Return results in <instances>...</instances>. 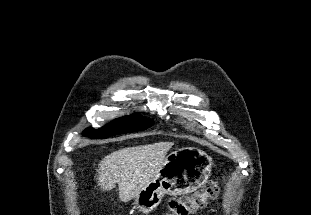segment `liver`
I'll list each match as a JSON object with an SVG mask.
<instances>
[{
	"label": "liver",
	"instance_id": "liver-1",
	"mask_svg": "<svg viewBox=\"0 0 311 215\" xmlns=\"http://www.w3.org/2000/svg\"><path fill=\"white\" fill-rule=\"evenodd\" d=\"M173 145L159 142L112 152L98 164V186L106 192L118 184L122 202L136 198L156 175Z\"/></svg>",
	"mask_w": 311,
	"mask_h": 215
}]
</instances>
